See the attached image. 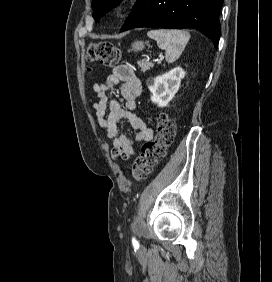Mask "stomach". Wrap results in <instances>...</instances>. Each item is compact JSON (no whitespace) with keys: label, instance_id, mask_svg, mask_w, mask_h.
Returning <instances> with one entry per match:
<instances>
[{"label":"stomach","instance_id":"1","mask_svg":"<svg viewBox=\"0 0 272 282\" xmlns=\"http://www.w3.org/2000/svg\"><path fill=\"white\" fill-rule=\"evenodd\" d=\"M145 47L143 41H135L131 44V51H142Z\"/></svg>","mask_w":272,"mask_h":282}]
</instances>
